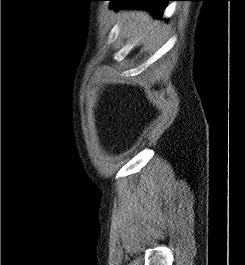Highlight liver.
I'll return each instance as SVG.
<instances>
[{
    "mask_svg": "<svg viewBox=\"0 0 245 265\" xmlns=\"http://www.w3.org/2000/svg\"><path fill=\"white\" fill-rule=\"evenodd\" d=\"M116 20L122 34L141 38L145 46L158 44L164 33V26L155 24L145 11L123 9L117 12Z\"/></svg>",
    "mask_w": 245,
    "mask_h": 265,
    "instance_id": "liver-1",
    "label": "liver"
}]
</instances>
